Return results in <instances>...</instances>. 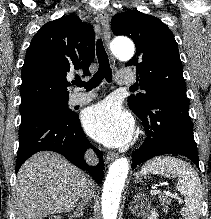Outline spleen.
Returning a JSON list of instances; mask_svg holds the SVG:
<instances>
[{
    "instance_id": "3e777b00",
    "label": "spleen",
    "mask_w": 211,
    "mask_h": 219,
    "mask_svg": "<svg viewBox=\"0 0 211 219\" xmlns=\"http://www.w3.org/2000/svg\"><path fill=\"white\" fill-rule=\"evenodd\" d=\"M141 173L178 177L177 190L185 198L181 215L184 219H199L203 198L202 187L196 171L190 164L175 157H157L146 162L141 167Z\"/></svg>"
}]
</instances>
